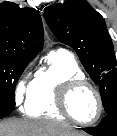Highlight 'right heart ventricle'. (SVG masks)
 Returning a JSON list of instances; mask_svg holds the SVG:
<instances>
[{
  "mask_svg": "<svg viewBox=\"0 0 117 136\" xmlns=\"http://www.w3.org/2000/svg\"><path fill=\"white\" fill-rule=\"evenodd\" d=\"M84 78V74L74 58L65 50L49 53L45 65L39 68L33 79L31 93L26 99L24 112L37 118L65 119L56 105L58 89L70 79Z\"/></svg>",
  "mask_w": 117,
  "mask_h": 136,
  "instance_id": "obj_1",
  "label": "right heart ventricle"
}]
</instances>
